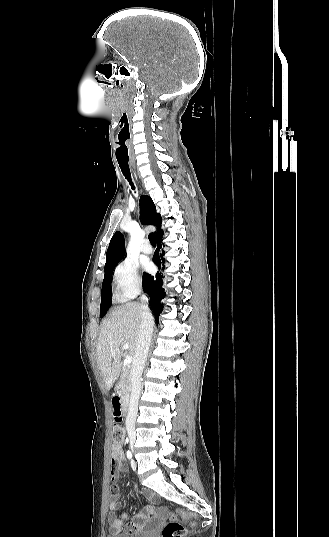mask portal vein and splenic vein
<instances>
[{"mask_svg": "<svg viewBox=\"0 0 329 537\" xmlns=\"http://www.w3.org/2000/svg\"><path fill=\"white\" fill-rule=\"evenodd\" d=\"M123 349H129V345L127 343H124L123 344ZM112 356H115V351H113L112 353ZM132 362V357H126V359L124 360V365H129L130 363Z\"/></svg>", "mask_w": 329, "mask_h": 537, "instance_id": "portal-vein-and-splenic-vein-1", "label": "portal vein and splenic vein"}]
</instances>
